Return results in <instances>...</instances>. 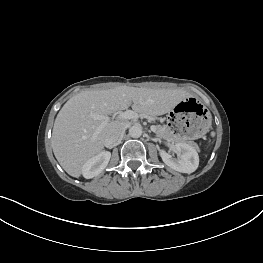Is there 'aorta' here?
Here are the masks:
<instances>
[{"label": "aorta", "instance_id": "aorta-1", "mask_svg": "<svg viewBox=\"0 0 263 263\" xmlns=\"http://www.w3.org/2000/svg\"><path fill=\"white\" fill-rule=\"evenodd\" d=\"M143 133L142 127L139 124L133 125L129 128V135L132 138H139Z\"/></svg>", "mask_w": 263, "mask_h": 263}]
</instances>
